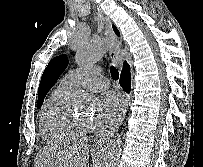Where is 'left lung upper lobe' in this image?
I'll return each mask as SVG.
<instances>
[{"instance_id":"1","label":"left lung upper lobe","mask_w":203,"mask_h":167,"mask_svg":"<svg viewBox=\"0 0 203 167\" xmlns=\"http://www.w3.org/2000/svg\"><path fill=\"white\" fill-rule=\"evenodd\" d=\"M68 65V59L66 55H60L54 57L49 64L47 65L46 69L43 72L40 85L38 88V102L37 108H40L46 94L50 90V88L55 84L58 77L61 73L65 70Z\"/></svg>"}]
</instances>
